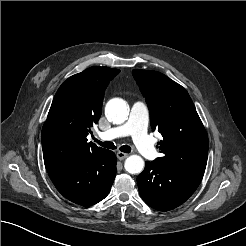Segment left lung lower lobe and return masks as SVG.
<instances>
[{
	"label": "left lung lower lobe",
	"instance_id": "1",
	"mask_svg": "<svg viewBox=\"0 0 246 246\" xmlns=\"http://www.w3.org/2000/svg\"><path fill=\"white\" fill-rule=\"evenodd\" d=\"M203 175L204 172L187 167L146 161L137 183L142 199L150 207L169 211L194 193Z\"/></svg>",
	"mask_w": 246,
	"mask_h": 246
}]
</instances>
